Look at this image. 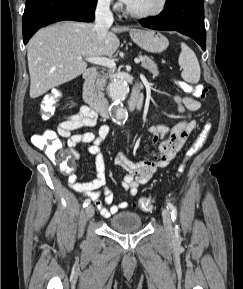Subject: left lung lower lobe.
<instances>
[{
    "label": "left lung lower lobe",
    "mask_w": 243,
    "mask_h": 289,
    "mask_svg": "<svg viewBox=\"0 0 243 289\" xmlns=\"http://www.w3.org/2000/svg\"><path fill=\"white\" fill-rule=\"evenodd\" d=\"M139 23L150 29L178 31L193 38L203 50L206 48L203 0H167L158 16Z\"/></svg>",
    "instance_id": "obj_1"
}]
</instances>
